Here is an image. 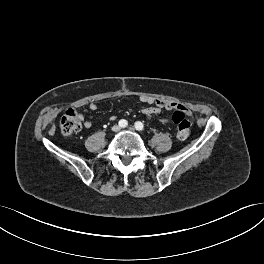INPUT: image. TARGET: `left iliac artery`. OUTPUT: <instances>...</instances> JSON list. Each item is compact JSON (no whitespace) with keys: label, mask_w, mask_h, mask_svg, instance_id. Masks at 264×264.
Segmentation results:
<instances>
[{"label":"left iliac artery","mask_w":264,"mask_h":264,"mask_svg":"<svg viewBox=\"0 0 264 264\" xmlns=\"http://www.w3.org/2000/svg\"><path fill=\"white\" fill-rule=\"evenodd\" d=\"M135 128H136L138 131H142V130L144 129V125H143L142 122L137 121V122L135 123Z\"/></svg>","instance_id":"obj_1"}]
</instances>
